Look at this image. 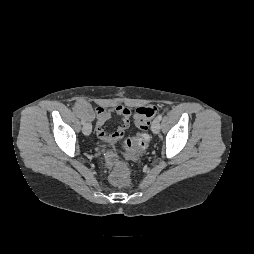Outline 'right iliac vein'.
Instances as JSON below:
<instances>
[{
	"label": "right iliac vein",
	"mask_w": 254,
	"mask_h": 254,
	"mask_svg": "<svg viewBox=\"0 0 254 254\" xmlns=\"http://www.w3.org/2000/svg\"><path fill=\"white\" fill-rule=\"evenodd\" d=\"M92 131V126L90 123H85L83 128H82V132L85 134V135H90Z\"/></svg>",
	"instance_id": "right-iliac-vein-1"
}]
</instances>
